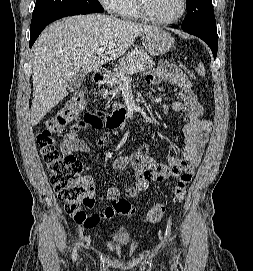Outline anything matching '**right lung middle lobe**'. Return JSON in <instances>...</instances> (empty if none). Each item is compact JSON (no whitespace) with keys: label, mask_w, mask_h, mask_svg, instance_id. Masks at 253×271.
I'll use <instances>...</instances> for the list:
<instances>
[{"label":"right lung middle lobe","mask_w":253,"mask_h":271,"mask_svg":"<svg viewBox=\"0 0 253 271\" xmlns=\"http://www.w3.org/2000/svg\"><path fill=\"white\" fill-rule=\"evenodd\" d=\"M66 11L93 13L104 9L98 0H36L30 28L51 15Z\"/></svg>","instance_id":"right-lung-middle-lobe-1"}]
</instances>
